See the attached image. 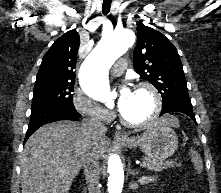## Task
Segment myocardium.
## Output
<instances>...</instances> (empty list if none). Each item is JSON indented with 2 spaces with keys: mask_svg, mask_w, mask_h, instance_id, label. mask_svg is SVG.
Here are the masks:
<instances>
[{
  "mask_svg": "<svg viewBox=\"0 0 221 193\" xmlns=\"http://www.w3.org/2000/svg\"><path fill=\"white\" fill-rule=\"evenodd\" d=\"M135 90H147L150 92L153 98V109L149 116L140 121H132L127 119L122 113H120L119 118L122 124L130 128H140L151 124L160 114L162 108V97L159 90L149 82H139L135 86Z\"/></svg>",
  "mask_w": 221,
  "mask_h": 193,
  "instance_id": "1",
  "label": "myocardium"
}]
</instances>
